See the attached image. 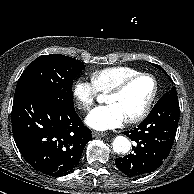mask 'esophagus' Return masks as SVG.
<instances>
[{"label": "esophagus", "mask_w": 194, "mask_h": 194, "mask_svg": "<svg viewBox=\"0 0 194 194\" xmlns=\"http://www.w3.org/2000/svg\"><path fill=\"white\" fill-rule=\"evenodd\" d=\"M106 135H107L106 132H98V131H93V132H92V136H93L94 138H96V137H104V136H106Z\"/></svg>", "instance_id": "esophagus-1"}]
</instances>
